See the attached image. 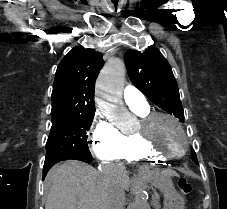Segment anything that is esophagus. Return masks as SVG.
Segmentation results:
<instances>
[{"label":"esophagus","instance_id":"obj_1","mask_svg":"<svg viewBox=\"0 0 227 209\" xmlns=\"http://www.w3.org/2000/svg\"><path fill=\"white\" fill-rule=\"evenodd\" d=\"M150 173L148 166H143L142 169L138 172V177H148V174Z\"/></svg>","mask_w":227,"mask_h":209}]
</instances>
